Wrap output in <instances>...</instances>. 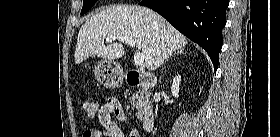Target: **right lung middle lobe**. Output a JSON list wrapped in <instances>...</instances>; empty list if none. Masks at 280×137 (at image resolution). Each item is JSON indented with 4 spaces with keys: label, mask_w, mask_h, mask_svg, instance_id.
I'll use <instances>...</instances> for the list:
<instances>
[{
    "label": "right lung middle lobe",
    "mask_w": 280,
    "mask_h": 137,
    "mask_svg": "<svg viewBox=\"0 0 280 137\" xmlns=\"http://www.w3.org/2000/svg\"><path fill=\"white\" fill-rule=\"evenodd\" d=\"M96 2L97 0H83L81 15L87 13Z\"/></svg>",
    "instance_id": "right-lung-middle-lobe-1"
}]
</instances>
